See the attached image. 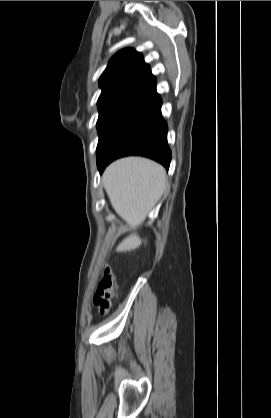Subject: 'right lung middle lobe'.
<instances>
[{"label":"right lung middle lobe","instance_id":"right-lung-middle-lobe-1","mask_svg":"<svg viewBox=\"0 0 271 418\" xmlns=\"http://www.w3.org/2000/svg\"><path fill=\"white\" fill-rule=\"evenodd\" d=\"M154 105L133 99H118L98 104L97 157L129 124L148 112Z\"/></svg>","mask_w":271,"mask_h":418}]
</instances>
